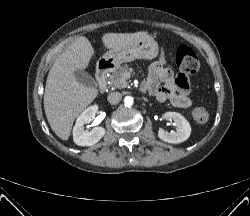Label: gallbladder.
I'll list each match as a JSON object with an SVG mask.
<instances>
[{
    "instance_id": "1",
    "label": "gallbladder",
    "mask_w": 250,
    "mask_h": 216,
    "mask_svg": "<svg viewBox=\"0 0 250 216\" xmlns=\"http://www.w3.org/2000/svg\"><path fill=\"white\" fill-rule=\"evenodd\" d=\"M75 77H76L77 81L84 86L93 87L96 84L94 78L90 74H88L84 71H76Z\"/></svg>"
}]
</instances>
